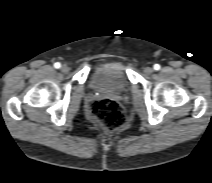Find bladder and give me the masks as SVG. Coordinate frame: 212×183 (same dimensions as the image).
<instances>
[{"mask_svg":"<svg viewBox=\"0 0 212 183\" xmlns=\"http://www.w3.org/2000/svg\"><path fill=\"white\" fill-rule=\"evenodd\" d=\"M91 86L99 91L123 93L130 82L121 62H111L98 66L91 77Z\"/></svg>","mask_w":212,"mask_h":183,"instance_id":"bladder-1","label":"bladder"}]
</instances>
